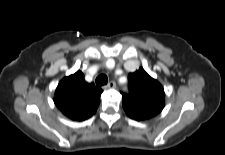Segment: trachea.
Instances as JSON below:
<instances>
[{
    "label": "trachea",
    "instance_id": "obj_1",
    "mask_svg": "<svg viewBox=\"0 0 225 155\" xmlns=\"http://www.w3.org/2000/svg\"><path fill=\"white\" fill-rule=\"evenodd\" d=\"M108 82V78L106 75L101 74L96 78V85L97 86H103L106 85Z\"/></svg>",
    "mask_w": 225,
    "mask_h": 155
}]
</instances>
